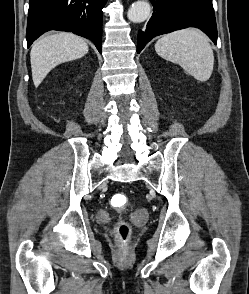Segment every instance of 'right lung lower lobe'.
<instances>
[{
    "instance_id": "right-lung-lower-lobe-1",
    "label": "right lung lower lobe",
    "mask_w": 249,
    "mask_h": 294,
    "mask_svg": "<svg viewBox=\"0 0 249 294\" xmlns=\"http://www.w3.org/2000/svg\"><path fill=\"white\" fill-rule=\"evenodd\" d=\"M107 0H30L28 47L49 30L70 31L93 41L101 53L102 8Z\"/></svg>"
}]
</instances>
